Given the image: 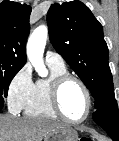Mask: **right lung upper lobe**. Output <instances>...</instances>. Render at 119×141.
I'll use <instances>...</instances> for the list:
<instances>
[{
  "mask_svg": "<svg viewBox=\"0 0 119 141\" xmlns=\"http://www.w3.org/2000/svg\"><path fill=\"white\" fill-rule=\"evenodd\" d=\"M31 6L12 1L0 3V69H21L30 31Z\"/></svg>",
  "mask_w": 119,
  "mask_h": 141,
  "instance_id": "right-lung-upper-lobe-1",
  "label": "right lung upper lobe"
}]
</instances>
